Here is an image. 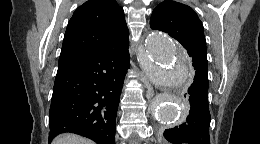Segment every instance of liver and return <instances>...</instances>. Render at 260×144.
Instances as JSON below:
<instances>
[{"label":"liver","mask_w":260,"mask_h":144,"mask_svg":"<svg viewBox=\"0 0 260 144\" xmlns=\"http://www.w3.org/2000/svg\"><path fill=\"white\" fill-rule=\"evenodd\" d=\"M53 144H93V142L78 135L68 133L55 138Z\"/></svg>","instance_id":"1"}]
</instances>
